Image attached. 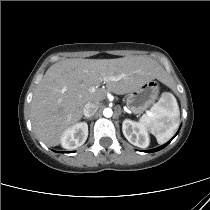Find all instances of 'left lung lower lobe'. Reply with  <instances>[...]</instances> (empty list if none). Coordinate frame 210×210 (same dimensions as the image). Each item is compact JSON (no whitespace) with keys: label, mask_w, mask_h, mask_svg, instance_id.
Segmentation results:
<instances>
[{"label":"left lung lower lobe","mask_w":210,"mask_h":210,"mask_svg":"<svg viewBox=\"0 0 210 210\" xmlns=\"http://www.w3.org/2000/svg\"><path fill=\"white\" fill-rule=\"evenodd\" d=\"M170 141H171V140H170ZM170 141L167 142L166 144H164V145H162V146L156 148V149L148 150V151H146V152H156V151H159V150L163 149L164 147H166V146L170 143Z\"/></svg>","instance_id":"obj_1"}]
</instances>
